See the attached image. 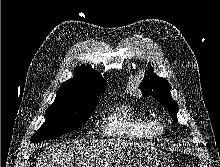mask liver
<instances>
[{
	"mask_svg": "<svg viewBox=\"0 0 220 167\" xmlns=\"http://www.w3.org/2000/svg\"><path fill=\"white\" fill-rule=\"evenodd\" d=\"M129 145L119 139L55 143L37 158L36 167H112Z\"/></svg>",
	"mask_w": 220,
	"mask_h": 167,
	"instance_id": "liver-1",
	"label": "liver"
}]
</instances>
